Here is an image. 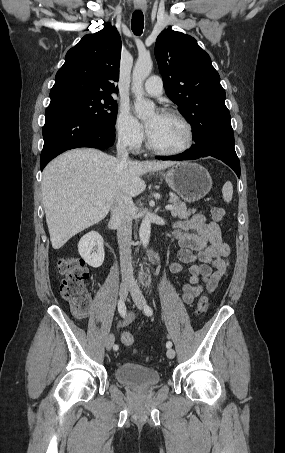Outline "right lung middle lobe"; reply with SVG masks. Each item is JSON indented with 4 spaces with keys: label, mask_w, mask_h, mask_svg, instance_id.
<instances>
[{
    "label": "right lung middle lobe",
    "mask_w": 285,
    "mask_h": 453,
    "mask_svg": "<svg viewBox=\"0 0 285 453\" xmlns=\"http://www.w3.org/2000/svg\"><path fill=\"white\" fill-rule=\"evenodd\" d=\"M57 100L73 106L97 128L115 133L118 105L111 96L71 93Z\"/></svg>",
    "instance_id": "1"
}]
</instances>
